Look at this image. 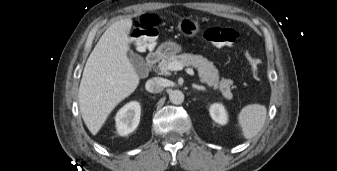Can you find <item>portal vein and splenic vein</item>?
Wrapping results in <instances>:
<instances>
[{"label":"portal vein and splenic vein","instance_id":"18ae733b","mask_svg":"<svg viewBox=\"0 0 337 171\" xmlns=\"http://www.w3.org/2000/svg\"><path fill=\"white\" fill-rule=\"evenodd\" d=\"M167 68L171 71H178L183 69V65L179 62H171L168 64ZM186 72L191 76L195 74L192 68H187Z\"/></svg>","mask_w":337,"mask_h":171}]
</instances>
